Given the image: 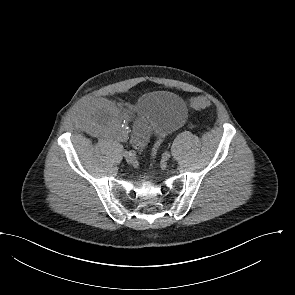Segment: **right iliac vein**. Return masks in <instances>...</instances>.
Instances as JSON below:
<instances>
[{
	"label": "right iliac vein",
	"instance_id": "1",
	"mask_svg": "<svg viewBox=\"0 0 295 295\" xmlns=\"http://www.w3.org/2000/svg\"><path fill=\"white\" fill-rule=\"evenodd\" d=\"M125 160L128 164H133L135 161L134 156H129L128 154L124 153Z\"/></svg>",
	"mask_w": 295,
	"mask_h": 295
}]
</instances>
